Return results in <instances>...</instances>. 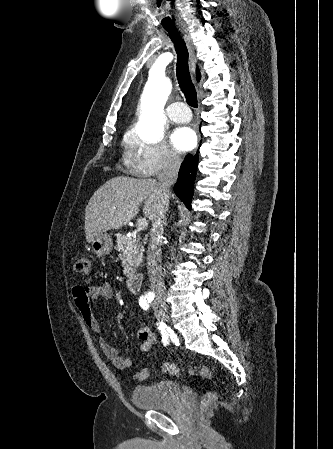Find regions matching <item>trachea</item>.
<instances>
[{"label": "trachea", "mask_w": 333, "mask_h": 449, "mask_svg": "<svg viewBox=\"0 0 333 449\" xmlns=\"http://www.w3.org/2000/svg\"><path fill=\"white\" fill-rule=\"evenodd\" d=\"M165 30L169 33L177 53L176 72L179 86L185 95L186 102L197 108V95L189 72V54L186 43L177 32L176 27H165Z\"/></svg>", "instance_id": "1"}]
</instances>
